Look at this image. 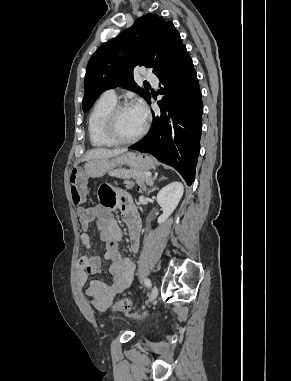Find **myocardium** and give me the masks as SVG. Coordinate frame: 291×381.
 I'll return each mask as SVG.
<instances>
[{
  "label": "myocardium",
  "mask_w": 291,
  "mask_h": 381,
  "mask_svg": "<svg viewBox=\"0 0 291 381\" xmlns=\"http://www.w3.org/2000/svg\"><path fill=\"white\" fill-rule=\"evenodd\" d=\"M132 107L128 102L117 103L105 116L103 121V132L105 136L117 145L132 144L139 141L147 132L148 124L145 121L141 131L132 138H122L116 130L117 117L121 111Z\"/></svg>",
  "instance_id": "f54148a6"
}]
</instances>
